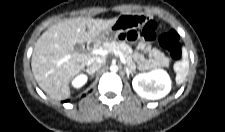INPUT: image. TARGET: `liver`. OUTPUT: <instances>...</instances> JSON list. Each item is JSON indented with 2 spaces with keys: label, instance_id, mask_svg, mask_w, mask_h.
I'll return each mask as SVG.
<instances>
[{
  "label": "liver",
  "instance_id": "6515ba94",
  "mask_svg": "<svg viewBox=\"0 0 225 132\" xmlns=\"http://www.w3.org/2000/svg\"><path fill=\"white\" fill-rule=\"evenodd\" d=\"M117 20V17L108 20L78 17L48 28L36 41L31 59L32 72L39 87L53 99L69 98L70 81L93 57L81 53L75 45L96 40Z\"/></svg>",
  "mask_w": 225,
  "mask_h": 132
}]
</instances>
